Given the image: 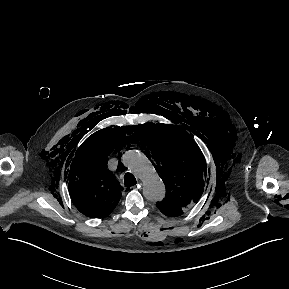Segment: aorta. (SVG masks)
<instances>
[{"label":"aorta","mask_w":289,"mask_h":289,"mask_svg":"<svg viewBox=\"0 0 289 289\" xmlns=\"http://www.w3.org/2000/svg\"><path fill=\"white\" fill-rule=\"evenodd\" d=\"M123 164L130 169L143 183V195L149 201H161L166 189L157 171L139 150H129L122 156Z\"/></svg>","instance_id":"1"}]
</instances>
